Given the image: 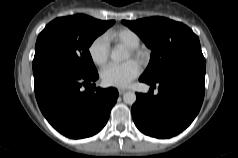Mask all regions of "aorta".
<instances>
[{
	"label": "aorta",
	"instance_id": "aorta-1",
	"mask_svg": "<svg viewBox=\"0 0 238 158\" xmlns=\"http://www.w3.org/2000/svg\"><path fill=\"white\" fill-rule=\"evenodd\" d=\"M111 59L114 61H122L128 58V55L125 51L121 49H114L111 52ZM123 101L126 104L132 105L136 101V94L134 92H126L123 95Z\"/></svg>",
	"mask_w": 238,
	"mask_h": 158
}]
</instances>
